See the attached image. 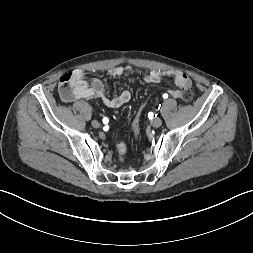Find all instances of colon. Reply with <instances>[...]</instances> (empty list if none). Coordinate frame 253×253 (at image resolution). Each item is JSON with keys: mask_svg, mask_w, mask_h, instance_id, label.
I'll return each mask as SVG.
<instances>
[{"mask_svg": "<svg viewBox=\"0 0 253 253\" xmlns=\"http://www.w3.org/2000/svg\"><path fill=\"white\" fill-rule=\"evenodd\" d=\"M67 79H68L67 76L62 77L64 87L66 86ZM191 97H192L191 90L190 89L186 90L183 95L184 101H189L191 99ZM146 109H147V106L145 104H142L138 108V110L136 111L137 117H136L134 125H133V133H134L135 137H137L139 135L142 115L144 114Z\"/></svg>", "mask_w": 253, "mask_h": 253, "instance_id": "obj_1", "label": "colon"}]
</instances>
